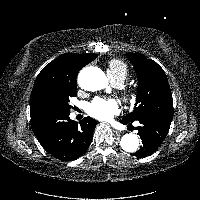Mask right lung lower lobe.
I'll return each mask as SVG.
<instances>
[{
  "label": "right lung lower lobe",
  "mask_w": 200,
  "mask_h": 200,
  "mask_svg": "<svg viewBox=\"0 0 200 200\" xmlns=\"http://www.w3.org/2000/svg\"><path fill=\"white\" fill-rule=\"evenodd\" d=\"M69 114L31 115V127L42 147L63 161L77 159L86 152L97 124L86 117L78 125Z\"/></svg>",
  "instance_id": "98d812e1"
}]
</instances>
